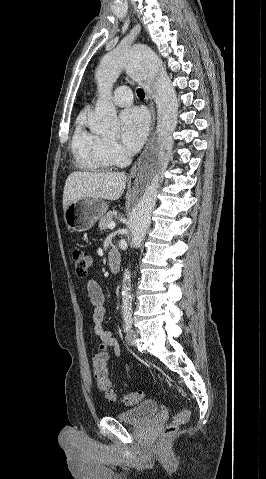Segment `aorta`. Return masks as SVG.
I'll list each match as a JSON object with an SVG mask.
<instances>
[{"mask_svg":"<svg viewBox=\"0 0 266 479\" xmlns=\"http://www.w3.org/2000/svg\"><path fill=\"white\" fill-rule=\"evenodd\" d=\"M123 70L133 78L145 82L146 88L160 105L162 112V124L158 128L162 140L157 158L137 184L129 202L131 240L135 245L142 241L150 225L164 165L163 140L168 125L173 121L174 100L163 72L162 62L151 48L143 44L126 49L116 48L102 58L96 71L100 96L90 115V124L94 132L110 136H117L119 133L116 110L111 102V90ZM130 278V271L126 269L122 280L123 314H129L131 310Z\"/></svg>","mask_w":266,"mask_h":479,"instance_id":"obj_1","label":"aorta"}]
</instances>
